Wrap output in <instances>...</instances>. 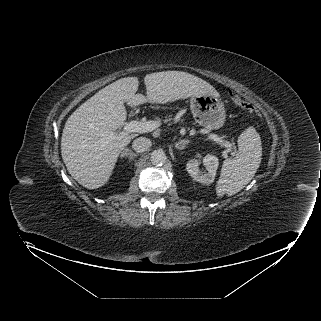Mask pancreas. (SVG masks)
Instances as JSON below:
<instances>
[{"instance_id": "obj_1", "label": "pancreas", "mask_w": 321, "mask_h": 321, "mask_svg": "<svg viewBox=\"0 0 321 321\" xmlns=\"http://www.w3.org/2000/svg\"><path fill=\"white\" fill-rule=\"evenodd\" d=\"M169 117H170V116H169ZM169 120H170V118H169V119H165L164 122H168Z\"/></svg>"}]
</instances>
